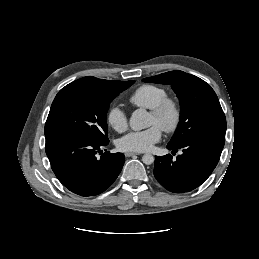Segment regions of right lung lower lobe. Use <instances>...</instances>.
<instances>
[{"instance_id": "1", "label": "right lung lower lobe", "mask_w": 259, "mask_h": 259, "mask_svg": "<svg viewBox=\"0 0 259 259\" xmlns=\"http://www.w3.org/2000/svg\"><path fill=\"white\" fill-rule=\"evenodd\" d=\"M107 142L82 137H61L46 140V154L59 181L81 196H94L105 191L122 170V153H103ZM97 153L102 154L100 159Z\"/></svg>"}]
</instances>
